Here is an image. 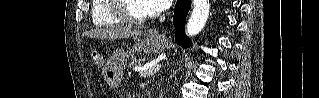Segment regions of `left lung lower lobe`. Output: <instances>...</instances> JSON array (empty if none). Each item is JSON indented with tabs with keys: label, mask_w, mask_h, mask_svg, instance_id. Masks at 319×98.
Returning <instances> with one entry per match:
<instances>
[{
	"label": "left lung lower lobe",
	"mask_w": 319,
	"mask_h": 98,
	"mask_svg": "<svg viewBox=\"0 0 319 98\" xmlns=\"http://www.w3.org/2000/svg\"><path fill=\"white\" fill-rule=\"evenodd\" d=\"M191 0H178L173 15V24L177 29L175 42L184 48L191 46L190 39L185 35V18L189 12Z\"/></svg>",
	"instance_id": "0a47b994"
}]
</instances>
